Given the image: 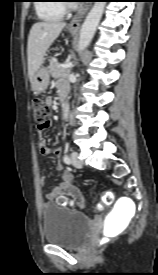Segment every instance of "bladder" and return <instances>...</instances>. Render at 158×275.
<instances>
[{
	"label": "bladder",
	"mask_w": 158,
	"mask_h": 275,
	"mask_svg": "<svg viewBox=\"0 0 158 275\" xmlns=\"http://www.w3.org/2000/svg\"><path fill=\"white\" fill-rule=\"evenodd\" d=\"M42 219L44 240L63 248H79L90 233V218L80 211L46 204Z\"/></svg>",
	"instance_id": "bladder-1"
}]
</instances>
